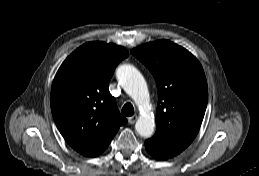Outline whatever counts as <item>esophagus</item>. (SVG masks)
Instances as JSON below:
<instances>
[{
  "mask_svg": "<svg viewBox=\"0 0 259 176\" xmlns=\"http://www.w3.org/2000/svg\"><path fill=\"white\" fill-rule=\"evenodd\" d=\"M136 120H137V116H131L128 118V123L132 125L136 122Z\"/></svg>",
  "mask_w": 259,
  "mask_h": 176,
  "instance_id": "obj_1",
  "label": "esophagus"
}]
</instances>
